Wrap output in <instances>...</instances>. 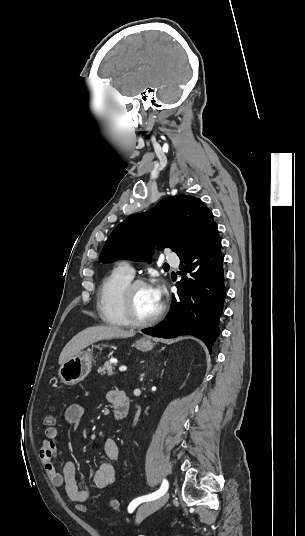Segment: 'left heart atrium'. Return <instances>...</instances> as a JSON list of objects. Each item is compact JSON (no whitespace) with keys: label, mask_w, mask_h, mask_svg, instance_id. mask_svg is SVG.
I'll return each mask as SVG.
<instances>
[{"label":"left heart atrium","mask_w":305,"mask_h":536,"mask_svg":"<svg viewBox=\"0 0 305 536\" xmlns=\"http://www.w3.org/2000/svg\"><path fill=\"white\" fill-rule=\"evenodd\" d=\"M153 298L155 302L160 303L161 301V291L157 287H153Z\"/></svg>","instance_id":"1"}]
</instances>
